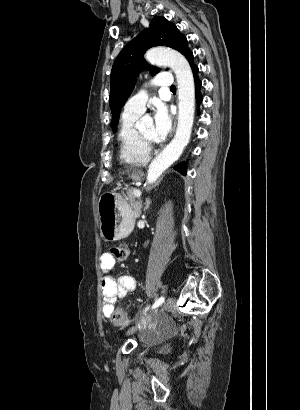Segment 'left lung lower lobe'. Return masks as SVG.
Returning <instances> with one entry per match:
<instances>
[{"label":"left lung lower lobe","instance_id":"1","mask_svg":"<svg viewBox=\"0 0 300 410\" xmlns=\"http://www.w3.org/2000/svg\"><path fill=\"white\" fill-rule=\"evenodd\" d=\"M191 69L193 71V75H194V81H195V92H196V102H197V114L200 115L199 112V105L201 104L203 98L201 96L200 93V88H201V81L198 78V67L194 64L193 61V53H191L188 58H187ZM175 169H177L179 172H181L182 174L186 175V165L185 163H180L178 164Z\"/></svg>","mask_w":300,"mask_h":410}]
</instances>
